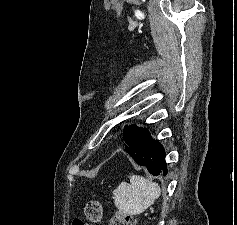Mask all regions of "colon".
<instances>
[{
    "instance_id": "1",
    "label": "colon",
    "mask_w": 237,
    "mask_h": 225,
    "mask_svg": "<svg viewBox=\"0 0 237 225\" xmlns=\"http://www.w3.org/2000/svg\"><path fill=\"white\" fill-rule=\"evenodd\" d=\"M103 214V208L98 201H89L85 206L86 220L81 218H75L72 225H89L90 223L100 222ZM110 225H136V219L129 214H116Z\"/></svg>"
}]
</instances>
